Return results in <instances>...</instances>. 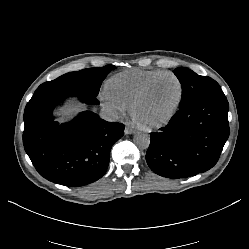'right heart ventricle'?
<instances>
[{
  "instance_id": "1",
  "label": "right heart ventricle",
  "mask_w": 249,
  "mask_h": 249,
  "mask_svg": "<svg viewBox=\"0 0 249 249\" xmlns=\"http://www.w3.org/2000/svg\"><path fill=\"white\" fill-rule=\"evenodd\" d=\"M163 72L166 71L158 68L125 70L111 76L105 82V91L126 106H129L144 84Z\"/></svg>"
}]
</instances>
